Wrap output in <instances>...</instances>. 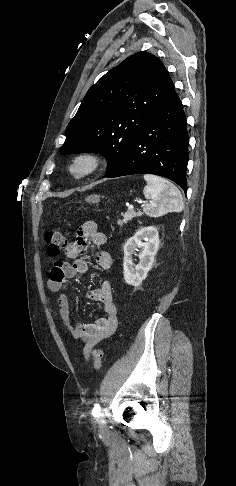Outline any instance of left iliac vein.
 I'll return each instance as SVG.
<instances>
[{"mask_svg": "<svg viewBox=\"0 0 236 486\" xmlns=\"http://www.w3.org/2000/svg\"><path fill=\"white\" fill-rule=\"evenodd\" d=\"M98 420H99V431L101 434H105L107 432L106 421L101 415H99Z\"/></svg>", "mask_w": 236, "mask_h": 486, "instance_id": "obj_1", "label": "left iliac vein"}]
</instances>
